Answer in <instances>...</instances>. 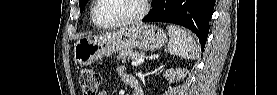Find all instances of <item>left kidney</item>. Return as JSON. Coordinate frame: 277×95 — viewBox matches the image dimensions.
Wrapping results in <instances>:
<instances>
[{
  "instance_id": "5707ae66",
  "label": "left kidney",
  "mask_w": 277,
  "mask_h": 95,
  "mask_svg": "<svg viewBox=\"0 0 277 95\" xmlns=\"http://www.w3.org/2000/svg\"><path fill=\"white\" fill-rule=\"evenodd\" d=\"M185 74V70L181 68H176L167 70L164 74V77L169 80L170 83L178 81Z\"/></svg>"
}]
</instances>
